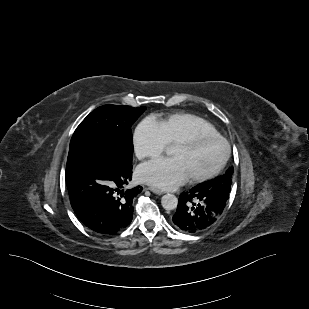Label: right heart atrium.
Listing matches in <instances>:
<instances>
[{
	"mask_svg": "<svg viewBox=\"0 0 309 309\" xmlns=\"http://www.w3.org/2000/svg\"><path fill=\"white\" fill-rule=\"evenodd\" d=\"M133 145L137 158L143 160L161 155L168 143L158 124L150 118H145L134 130Z\"/></svg>",
	"mask_w": 309,
	"mask_h": 309,
	"instance_id": "1",
	"label": "right heart atrium"
}]
</instances>
